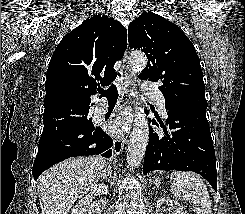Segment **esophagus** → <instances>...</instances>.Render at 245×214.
Listing matches in <instances>:
<instances>
[{
    "label": "esophagus",
    "instance_id": "esophagus-1",
    "mask_svg": "<svg viewBox=\"0 0 245 214\" xmlns=\"http://www.w3.org/2000/svg\"><path fill=\"white\" fill-rule=\"evenodd\" d=\"M123 72L125 76L124 87L122 89L121 102L124 105L132 104V92L135 88V74L128 63V51L126 50L123 56ZM125 138L117 136L113 141V150L116 155H119L124 147Z\"/></svg>",
    "mask_w": 245,
    "mask_h": 214
}]
</instances>
